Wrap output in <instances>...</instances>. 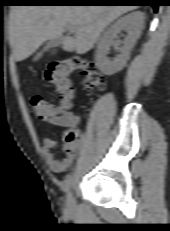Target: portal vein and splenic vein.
Wrapping results in <instances>:
<instances>
[{"instance_id":"obj_1","label":"portal vein and splenic vein","mask_w":170,"mask_h":231,"mask_svg":"<svg viewBox=\"0 0 170 231\" xmlns=\"http://www.w3.org/2000/svg\"><path fill=\"white\" fill-rule=\"evenodd\" d=\"M67 30H68L70 33H74V29L71 28V27H68Z\"/></svg>"}]
</instances>
